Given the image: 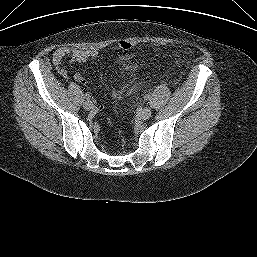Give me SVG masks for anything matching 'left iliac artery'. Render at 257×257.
<instances>
[{
  "label": "left iliac artery",
  "mask_w": 257,
  "mask_h": 257,
  "mask_svg": "<svg viewBox=\"0 0 257 257\" xmlns=\"http://www.w3.org/2000/svg\"><path fill=\"white\" fill-rule=\"evenodd\" d=\"M144 99H145V100H148V99H149V95L146 94V95L144 96Z\"/></svg>",
  "instance_id": "1"
}]
</instances>
